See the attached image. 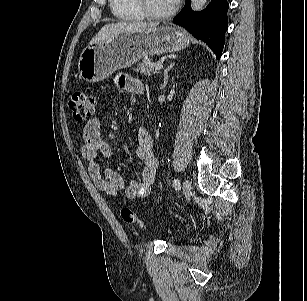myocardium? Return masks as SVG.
<instances>
[{
    "instance_id": "f54148a6",
    "label": "myocardium",
    "mask_w": 307,
    "mask_h": 301,
    "mask_svg": "<svg viewBox=\"0 0 307 301\" xmlns=\"http://www.w3.org/2000/svg\"><path fill=\"white\" fill-rule=\"evenodd\" d=\"M136 5L138 7V9L141 11V13L152 20H163V19H167L171 16H173L176 11L178 10V3L175 2L173 7L168 10L167 12L164 13H156L154 11H152L150 9V7L148 6L147 0H135Z\"/></svg>"
}]
</instances>
